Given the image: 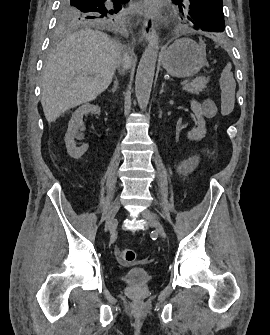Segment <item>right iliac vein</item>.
Wrapping results in <instances>:
<instances>
[{"mask_svg":"<svg viewBox=\"0 0 270 335\" xmlns=\"http://www.w3.org/2000/svg\"><path fill=\"white\" fill-rule=\"evenodd\" d=\"M119 208H120V203L117 200L113 203V205L111 206V209L108 213V217H107V220H106V223H105V226H104V231L105 232L115 230V228L117 226L115 216H116Z\"/></svg>","mask_w":270,"mask_h":335,"instance_id":"right-iliac-vein-1","label":"right iliac vein"}]
</instances>
